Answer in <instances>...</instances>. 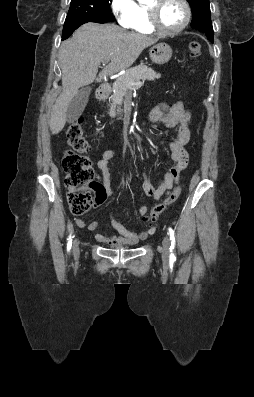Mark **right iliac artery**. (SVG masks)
Masks as SVG:
<instances>
[{
  "instance_id": "obj_1",
  "label": "right iliac artery",
  "mask_w": 254,
  "mask_h": 397,
  "mask_svg": "<svg viewBox=\"0 0 254 397\" xmlns=\"http://www.w3.org/2000/svg\"><path fill=\"white\" fill-rule=\"evenodd\" d=\"M71 245H72V237L70 235L69 238H68V244H67L68 251L71 249Z\"/></svg>"
}]
</instances>
